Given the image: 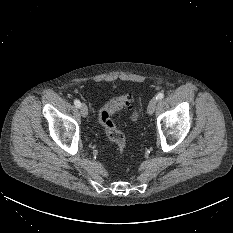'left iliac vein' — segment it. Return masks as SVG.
Segmentation results:
<instances>
[{
	"mask_svg": "<svg viewBox=\"0 0 233 233\" xmlns=\"http://www.w3.org/2000/svg\"><path fill=\"white\" fill-rule=\"evenodd\" d=\"M156 105H157V99L152 98L147 106V112L149 115L153 114V112L155 111Z\"/></svg>",
	"mask_w": 233,
	"mask_h": 233,
	"instance_id": "obj_1",
	"label": "left iliac vein"
}]
</instances>
